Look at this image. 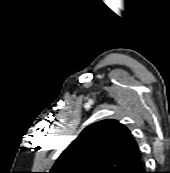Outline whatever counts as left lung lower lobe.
I'll list each match as a JSON object with an SVG mask.
<instances>
[{
    "label": "left lung lower lobe",
    "mask_w": 170,
    "mask_h": 173,
    "mask_svg": "<svg viewBox=\"0 0 170 173\" xmlns=\"http://www.w3.org/2000/svg\"><path fill=\"white\" fill-rule=\"evenodd\" d=\"M117 173H147L145 172L141 157L127 163L121 167Z\"/></svg>",
    "instance_id": "left-lung-lower-lobe-1"
}]
</instances>
